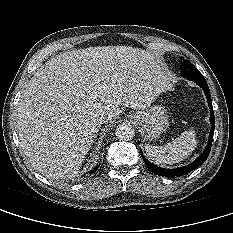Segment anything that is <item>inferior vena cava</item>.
I'll return each instance as SVG.
<instances>
[{
	"label": "inferior vena cava",
	"mask_w": 233,
	"mask_h": 233,
	"mask_svg": "<svg viewBox=\"0 0 233 233\" xmlns=\"http://www.w3.org/2000/svg\"><path fill=\"white\" fill-rule=\"evenodd\" d=\"M95 120H96V122L102 124V123L104 122V117H103V116H97V117L95 118Z\"/></svg>",
	"instance_id": "1"
}]
</instances>
